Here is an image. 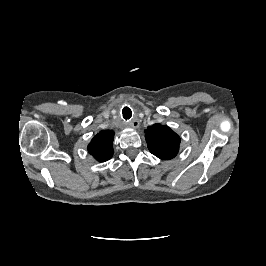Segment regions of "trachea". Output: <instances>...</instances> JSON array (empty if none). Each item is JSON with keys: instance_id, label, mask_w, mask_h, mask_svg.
Wrapping results in <instances>:
<instances>
[{"instance_id": "3493384b", "label": "trachea", "mask_w": 266, "mask_h": 266, "mask_svg": "<svg viewBox=\"0 0 266 266\" xmlns=\"http://www.w3.org/2000/svg\"><path fill=\"white\" fill-rule=\"evenodd\" d=\"M122 114H123V118L128 120L131 118L132 116V111L129 107H124L123 110H122Z\"/></svg>"}]
</instances>
